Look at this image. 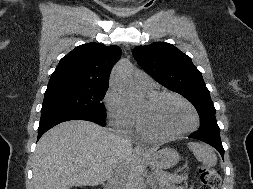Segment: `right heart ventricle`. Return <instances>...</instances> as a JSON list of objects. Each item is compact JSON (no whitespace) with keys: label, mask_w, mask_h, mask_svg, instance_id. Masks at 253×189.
<instances>
[{"label":"right heart ventricle","mask_w":253,"mask_h":189,"mask_svg":"<svg viewBox=\"0 0 253 189\" xmlns=\"http://www.w3.org/2000/svg\"><path fill=\"white\" fill-rule=\"evenodd\" d=\"M146 94L151 95V94H152V91H151V92H148V93H146Z\"/></svg>","instance_id":"1"}]
</instances>
